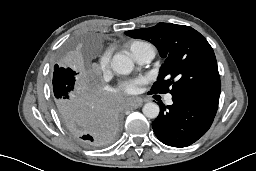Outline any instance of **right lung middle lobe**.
Here are the masks:
<instances>
[{
	"label": "right lung middle lobe",
	"instance_id": "right-lung-middle-lobe-1",
	"mask_svg": "<svg viewBox=\"0 0 256 171\" xmlns=\"http://www.w3.org/2000/svg\"><path fill=\"white\" fill-rule=\"evenodd\" d=\"M76 76L77 72L70 67L67 57L62 58L59 64L54 66L52 83L57 110L75 101L85 91L77 83Z\"/></svg>",
	"mask_w": 256,
	"mask_h": 171
}]
</instances>
